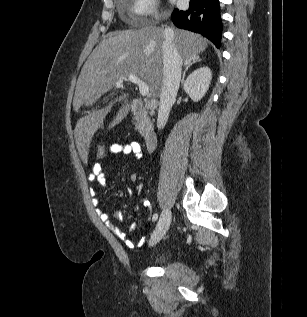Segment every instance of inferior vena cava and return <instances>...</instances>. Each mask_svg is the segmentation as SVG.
I'll return each mask as SVG.
<instances>
[{
  "instance_id": "obj_1",
  "label": "inferior vena cava",
  "mask_w": 307,
  "mask_h": 317,
  "mask_svg": "<svg viewBox=\"0 0 307 317\" xmlns=\"http://www.w3.org/2000/svg\"><path fill=\"white\" fill-rule=\"evenodd\" d=\"M173 39V30L169 27L165 28L162 46L163 85L160 93L157 118V127L160 129H162L167 123L181 80L182 59L175 48Z\"/></svg>"
}]
</instances>
